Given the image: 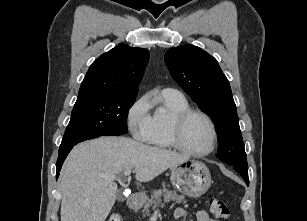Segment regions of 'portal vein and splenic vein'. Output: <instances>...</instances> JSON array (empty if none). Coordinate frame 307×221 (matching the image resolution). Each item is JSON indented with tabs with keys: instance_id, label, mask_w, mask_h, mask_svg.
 <instances>
[{
	"instance_id": "1",
	"label": "portal vein and splenic vein",
	"mask_w": 307,
	"mask_h": 221,
	"mask_svg": "<svg viewBox=\"0 0 307 221\" xmlns=\"http://www.w3.org/2000/svg\"><path fill=\"white\" fill-rule=\"evenodd\" d=\"M124 176H129L131 174V170H125L123 172ZM105 179H116V175H105Z\"/></svg>"
}]
</instances>
